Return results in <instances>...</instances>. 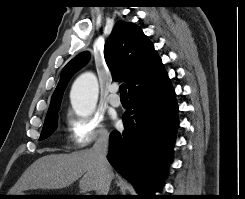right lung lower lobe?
<instances>
[{
	"mask_svg": "<svg viewBox=\"0 0 245 199\" xmlns=\"http://www.w3.org/2000/svg\"><path fill=\"white\" fill-rule=\"evenodd\" d=\"M124 131L110 135L107 159L143 198L160 189L178 127V106L169 78L157 87L129 96Z\"/></svg>",
	"mask_w": 245,
	"mask_h": 199,
	"instance_id": "obj_1",
	"label": "right lung lower lobe"
}]
</instances>
